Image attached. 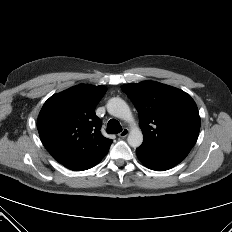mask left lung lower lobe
<instances>
[{
	"label": "left lung lower lobe",
	"instance_id": "1",
	"mask_svg": "<svg viewBox=\"0 0 232 232\" xmlns=\"http://www.w3.org/2000/svg\"><path fill=\"white\" fill-rule=\"evenodd\" d=\"M139 160L149 169L168 170L179 164L188 155L189 150L148 151L136 149Z\"/></svg>",
	"mask_w": 232,
	"mask_h": 232
}]
</instances>
